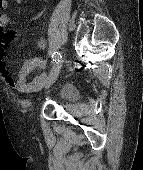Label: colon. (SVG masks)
<instances>
[{
    "label": "colon",
    "instance_id": "1",
    "mask_svg": "<svg viewBox=\"0 0 143 170\" xmlns=\"http://www.w3.org/2000/svg\"><path fill=\"white\" fill-rule=\"evenodd\" d=\"M4 9H5V1L0 0V10H4Z\"/></svg>",
    "mask_w": 143,
    "mask_h": 170
}]
</instances>
